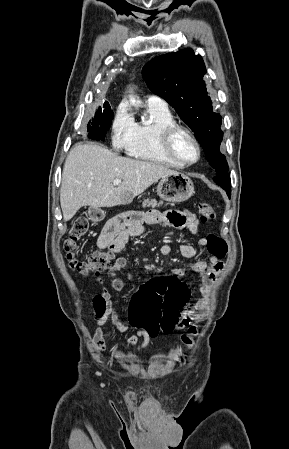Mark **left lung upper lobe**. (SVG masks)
<instances>
[{
  "instance_id": "5c2ea615",
  "label": "left lung upper lobe",
  "mask_w": 289,
  "mask_h": 449,
  "mask_svg": "<svg viewBox=\"0 0 289 449\" xmlns=\"http://www.w3.org/2000/svg\"><path fill=\"white\" fill-rule=\"evenodd\" d=\"M205 74L202 57L190 48L158 56L142 69L150 90L165 99L194 131L210 166L216 171L214 181L222 188L230 187L226 157L219 149L223 138L222 119L212 111L203 81Z\"/></svg>"
}]
</instances>
